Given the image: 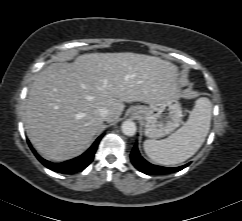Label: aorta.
I'll return each instance as SVG.
<instances>
[{
    "instance_id": "1",
    "label": "aorta",
    "mask_w": 242,
    "mask_h": 221,
    "mask_svg": "<svg viewBox=\"0 0 242 221\" xmlns=\"http://www.w3.org/2000/svg\"><path fill=\"white\" fill-rule=\"evenodd\" d=\"M121 130L126 136H133L136 133V125L131 120H126L122 123Z\"/></svg>"
}]
</instances>
